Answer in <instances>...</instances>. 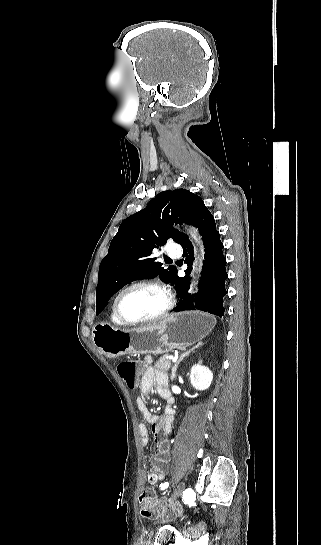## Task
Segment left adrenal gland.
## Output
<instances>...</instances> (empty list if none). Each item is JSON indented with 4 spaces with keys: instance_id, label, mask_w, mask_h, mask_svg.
<instances>
[{
    "instance_id": "1",
    "label": "left adrenal gland",
    "mask_w": 321,
    "mask_h": 545,
    "mask_svg": "<svg viewBox=\"0 0 321 545\" xmlns=\"http://www.w3.org/2000/svg\"><path fill=\"white\" fill-rule=\"evenodd\" d=\"M200 343H198V345H196V347H193V349H190V351H186V353H183V355H181L179 361H176L174 367H172V375H171V381H174L175 377H176V371H177V367L179 365V363H181V361H183L184 357H188V355H190L191 351H194V349H197V347H199Z\"/></svg>"
}]
</instances>
